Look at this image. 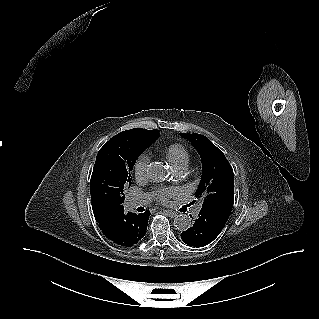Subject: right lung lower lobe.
<instances>
[{"label": "right lung lower lobe", "mask_w": 319, "mask_h": 319, "mask_svg": "<svg viewBox=\"0 0 319 319\" xmlns=\"http://www.w3.org/2000/svg\"><path fill=\"white\" fill-rule=\"evenodd\" d=\"M103 215L95 219L99 228L114 243L130 247L140 241L146 234L150 212L134 214L124 212L123 206L102 211Z\"/></svg>", "instance_id": "obj_1"}]
</instances>
